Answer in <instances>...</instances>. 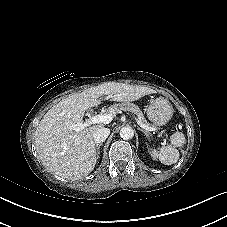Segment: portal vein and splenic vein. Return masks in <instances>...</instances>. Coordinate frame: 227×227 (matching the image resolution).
<instances>
[{"label":"portal vein and splenic vein","mask_w":227,"mask_h":227,"mask_svg":"<svg viewBox=\"0 0 227 227\" xmlns=\"http://www.w3.org/2000/svg\"><path fill=\"white\" fill-rule=\"evenodd\" d=\"M112 119H113V115L112 114H99V115H95V116L90 117L84 123L81 122V123L73 124L70 127L74 131L78 132V131L83 130L86 127L90 126L91 124H97V123L108 124V123H110L112 121ZM135 120H136L137 124L140 127L144 128V129H146L148 131H157V129L155 127L147 125V124H144V123H142L140 120H138L136 118H135ZM162 134H163V132H161V135Z\"/></svg>","instance_id":"1"}]
</instances>
